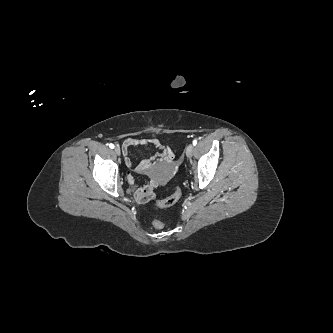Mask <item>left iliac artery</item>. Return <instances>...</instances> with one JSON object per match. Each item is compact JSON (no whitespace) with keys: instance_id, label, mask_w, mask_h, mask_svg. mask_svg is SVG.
I'll list each match as a JSON object with an SVG mask.
<instances>
[{"instance_id":"1","label":"left iliac artery","mask_w":333,"mask_h":333,"mask_svg":"<svg viewBox=\"0 0 333 333\" xmlns=\"http://www.w3.org/2000/svg\"><path fill=\"white\" fill-rule=\"evenodd\" d=\"M197 144V140H194L193 141V145L195 146Z\"/></svg>"}]
</instances>
